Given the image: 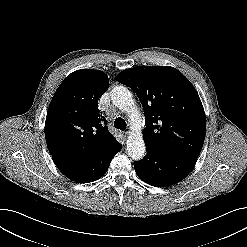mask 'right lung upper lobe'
Listing matches in <instances>:
<instances>
[{
  "mask_svg": "<svg viewBox=\"0 0 247 247\" xmlns=\"http://www.w3.org/2000/svg\"><path fill=\"white\" fill-rule=\"evenodd\" d=\"M108 86L107 75L99 70H78L63 80L50 102L45 122L52 157L88 161L117 143L97 108Z\"/></svg>",
  "mask_w": 247,
  "mask_h": 247,
  "instance_id": "obj_1",
  "label": "right lung upper lobe"
}]
</instances>
